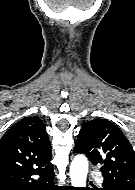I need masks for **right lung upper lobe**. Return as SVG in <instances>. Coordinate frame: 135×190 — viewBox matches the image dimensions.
Masks as SVG:
<instances>
[{"label": "right lung upper lobe", "mask_w": 135, "mask_h": 190, "mask_svg": "<svg viewBox=\"0 0 135 190\" xmlns=\"http://www.w3.org/2000/svg\"><path fill=\"white\" fill-rule=\"evenodd\" d=\"M52 149L42 120L22 119L0 139V174L13 170L44 169L52 164Z\"/></svg>", "instance_id": "cb5924a9"}]
</instances>
